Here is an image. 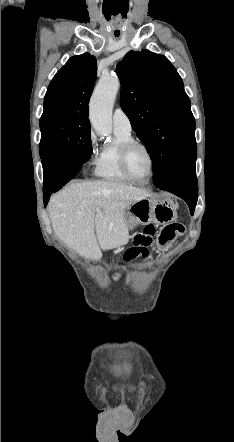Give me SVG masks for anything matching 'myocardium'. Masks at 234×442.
Here are the masks:
<instances>
[{
  "label": "myocardium",
  "instance_id": "1",
  "mask_svg": "<svg viewBox=\"0 0 234 442\" xmlns=\"http://www.w3.org/2000/svg\"><path fill=\"white\" fill-rule=\"evenodd\" d=\"M134 147H141L142 149L145 150V152L147 153L148 157H149V161H150V174L148 176V178L146 180H139L137 179L130 171L129 169V165H128V156L129 153L131 151L132 148ZM120 166L121 169L123 171V173L133 182L138 183V184H147L151 181V179L154 177V173H155V159L153 156L152 151L150 150V148L143 142L138 141V140H128L126 142H124L121 147H120Z\"/></svg>",
  "mask_w": 234,
  "mask_h": 442
}]
</instances>
